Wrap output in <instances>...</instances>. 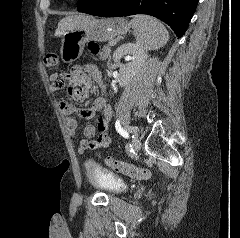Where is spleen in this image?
<instances>
[{
    "mask_svg": "<svg viewBox=\"0 0 240 238\" xmlns=\"http://www.w3.org/2000/svg\"><path fill=\"white\" fill-rule=\"evenodd\" d=\"M130 25L135 32L137 44L145 50H156L169 40V33L157 19L147 15H136Z\"/></svg>",
    "mask_w": 240,
    "mask_h": 238,
    "instance_id": "1",
    "label": "spleen"
}]
</instances>
